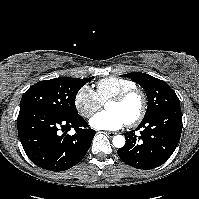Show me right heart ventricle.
<instances>
[{"label":"right heart ventricle","instance_id":"obj_1","mask_svg":"<svg viewBox=\"0 0 199 199\" xmlns=\"http://www.w3.org/2000/svg\"><path fill=\"white\" fill-rule=\"evenodd\" d=\"M136 87V84L128 79L108 77L101 79L96 84V94L102 103L109 101L121 92Z\"/></svg>","mask_w":199,"mask_h":199}]
</instances>
